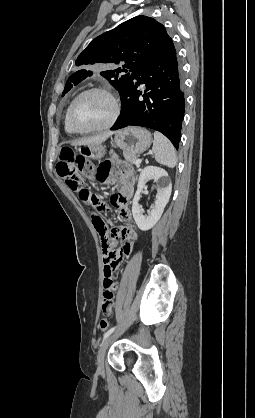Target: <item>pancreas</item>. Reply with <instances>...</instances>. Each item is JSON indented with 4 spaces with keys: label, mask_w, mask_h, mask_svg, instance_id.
I'll return each mask as SVG.
<instances>
[{
    "label": "pancreas",
    "mask_w": 255,
    "mask_h": 418,
    "mask_svg": "<svg viewBox=\"0 0 255 418\" xmlns=\"http://www.w3.org/2000/svg\"><path fill=\"white\" fill-rule=\"evenodd\" d=\"M123 156H124L125 160L128 163H131V164L134 163L135 160H137L136 155H133V154H130V153H127V152H123Z\"/></svg>",
    "instance_id": "obj_1"
}]
</instances>
